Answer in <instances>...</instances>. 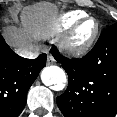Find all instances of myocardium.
Returning <instances> with one entry per match:
<instances>
[{"mask_svg": "<svg viewBox=\"0 0 117 117\" xmlns=\"http://www.w3.org/2000/svg\"><path fill=\"white\" fill-rule=\"evenodd\" d=\"M92 21L94 28L87 36H80V29L85 23ZM99 34V23L94 17L86 16L76 22L62 42L63 49L71 56H82L86 54L95 44Z\"/></svg>", "mask_w": 117, "mask_h": 117, "instance_id": "obj_1", "label": "myocardium"}]
</instances>
